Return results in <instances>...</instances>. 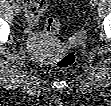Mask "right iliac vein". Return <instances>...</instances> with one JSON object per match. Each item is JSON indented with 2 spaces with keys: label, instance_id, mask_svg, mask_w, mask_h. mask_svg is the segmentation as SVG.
<instances>
[{
  "label": "right iliac vein",
  "instance_id": "obj_1",
  "mask_svg": "<svg viewBox=\"0 0 111 106\" xmlns=\"http://www.w3.org/2000/svg\"><path fill=\"white\" fill-rule=\"evenodd\" d=\"M13 9L16 13H20L21 12V6L19 4H14L13 5Z\"/></svg>",
  "mask_w": 111,
  "mask_h": 106
}]
</instances>
